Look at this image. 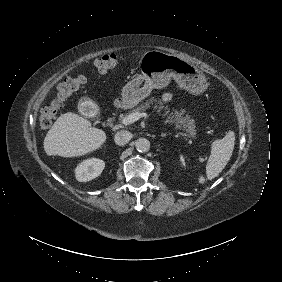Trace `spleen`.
Here are the masks:
<instances>
[{"mask_svg": "<svg viewBox=\"0 0 282 282\" xmlns=\"http://www.w3.org/2000/svg\"><path fill=\"white\" fill-rule=\"evenodd\" d=\"M235 137L233 132H229L225 137L216 139L212 142L210 148V156L206 164V174L208 179H212L223 170L228 163L233 147ZM200 182L204 181V178L199 179Z\"/></svg>", "mask_w": 282, "mask_h": 282, "instance_id": "1", "label": "spleen"}]
</instances>
